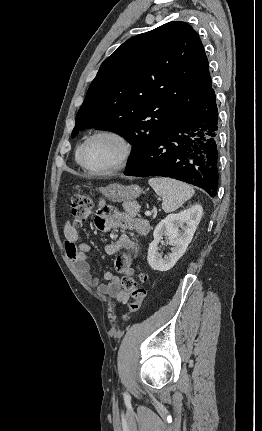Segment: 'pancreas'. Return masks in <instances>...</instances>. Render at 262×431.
<instances>
[{"mask_svg": "<svg viewBox=\"0 0 262 431\" xmlns=\"http://www.w3.org/2000/svg\"><path fill=\"white\" fill-rule=\"evenodd\" d=\"M124 209L130 214V216H136V214L139 212V207L137 206L131 207L128 204L124 205Z\"/></svg>", "mask_w": 262, "mask_h": 431, "instance_id": "obj_1", "label": "pancreas"}]
</instances>
